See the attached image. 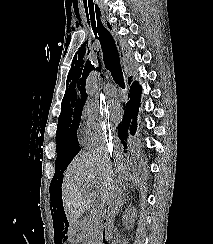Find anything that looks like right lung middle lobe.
Instances as JSON below:
<instances>
[{
	"instance_id": "obj_1",
	"label": "right lung middle lobe",
	"mask_w": 213,
	"mask_h": 244,
	"mask_svg": "<svg viewBox=\"0 0 213 244\" xmlns=\"http://www.w3.org/2000/svg\"><path fill=\"white\" fill-rule=\"evenodd\" d=\"M83 106L61 112L56 132L57 158L55 175L52 182H58L57 172H63L75 155L80 151L77 139L78 123L81 119Z\"/></svg>"
}]
</instances>
